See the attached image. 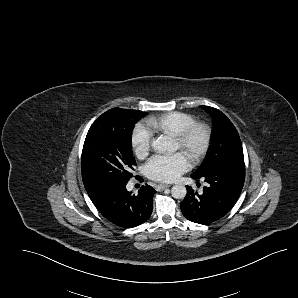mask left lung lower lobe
Here are the masks:
<instances>
[{
    "instance_id": "obj_1",
    "label": "left lung lower lobe",
    "mask_w": 298,
    "mask_h": 298,
    "mask_svg": "<svg viewBox=\"0 0 298 298\" xmlns=\"http://www.w3.org/2000/svg\"><path fill=\"white\" fill-rule=\"evenodd\" d=\"M197 185L199 178L208 183L203 193L187 186V195L181 203V211L188 220L207 225L226 215L236 203L245 180L244 159H238L220 167L192 174Z\"/></svg>"
}]
</instances>
